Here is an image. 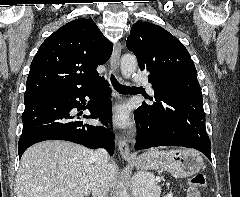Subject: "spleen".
<instances>
[{"instance_id":"1","label":"spleen","mask_w":240,"mask_h":197,"mask_svg":"<svg viewBox=\"0 0 240 197\" xmlns=\"http://www.w3.org/2000/svg\"><path fill=\"white\" fill-rule=\"evenodd\" d=\"M148 178L151 186L145 197H157L159 191L154 183L153 177L151 175H148Z\"/></svg>"}]
</instances>
